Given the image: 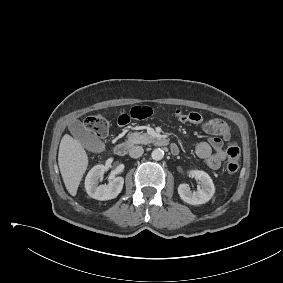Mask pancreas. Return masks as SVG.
<instances>
[{
    "label": "pancreas",
    "mask_w": 283,
    "mask_h": 283,
    "mask_svg": "<svg viewBox=\"0 0 283 283\" xmlns=\"http://www.w3.org/2000/svg\"><path fill=\"white\" fill-rule=\"evenodd\" d=\"M128 140L126 144L133 145V144H148L151 142L152 137L146 133L142 132H132L128 134Z\"/></svg>",
    "instance_id": "cf45deb5"
}]
</instances>
